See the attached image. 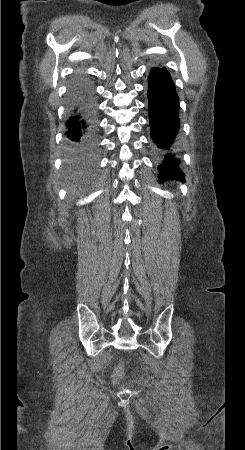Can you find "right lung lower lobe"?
<instances>
[{
    "label": "right lung lower lobe",
    "instance_id": "obj_1",
    "mask_svg": "<svg viewBox=\"0 0 245 450\" xmlns=\"http://www.w3.org/2000/svg\"><path fill=\"white\" fill-rule=\"evenodd\" d=\"M65 136L69 171L81 175L91 173L98 160L95 106L92 93L84 84L72 89Z\"/></svg>",
    "mask_w": 245,
    "mask_h": 450
}]
</instances>
